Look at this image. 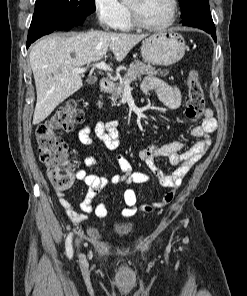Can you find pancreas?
Here are the masks:
<instances>
[{
  "instance_id": "obj_1",
  "label": "pancreas",
  "mask_w": 247,
  "mask_h": 296,
  "mask_svg": "<svg viewBox=\"0 0 247 296\" xmlns=\"http://www.w3.org/2000/svg\"><path fill=\"white\" fill-rule=\"evenodd\" d=\"M147 75V76H154V75H159L161 77H164L168 75L167 70H161V69H155V67L145 64L143 62H140L136 60L135 62L130 64V67L125 74L123 80L115 84L112 92H111V100L112 102H116L118 99H120L123 95L124 92V81L129 80V81H134L136 79H139L141 76ZM98 106L102 107V103L99 101Z\"/></svg>"
}]
</instances>
